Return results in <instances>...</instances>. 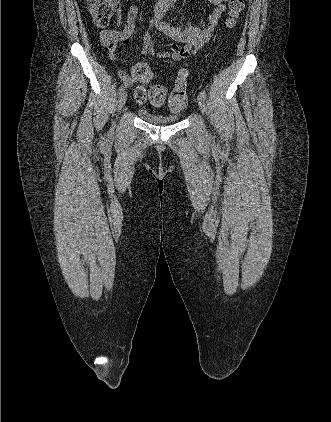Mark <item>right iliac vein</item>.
Segmentation results:
<instances>
[{
    "label": "right iliac vein",
    "instance_id": "1",
    "mask_svg": "<svg viewBox=\"0 0 331 422\" xmlns=\"http://www.w3.org/2000/svg\"><path fill=\"white\" fill-rule=\"evenodd\" d=\"M127 100V93L125 91H123L122 93H120L118 100H117V109L118 111H120L123 106L125 105Z\"/></svg>",
    "mask_w": 331,
    "mask_h": 422
}]
</instances>
